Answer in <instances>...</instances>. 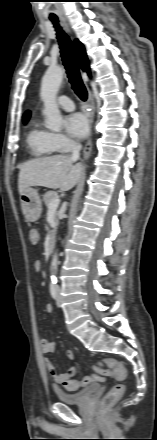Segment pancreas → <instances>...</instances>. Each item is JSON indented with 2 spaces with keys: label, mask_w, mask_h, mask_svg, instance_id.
I'll return each instance as SVG.
<instances>
[{
  "label": "pancreas",
  "mask_w": 157,
  "mask_h": 440,
  "mask_svg": "<svg viewBox=\"0 0 157 440\" xmlns=\"http://www.w3.org/2000/svg\"><path fill=\"white\" fill-rule=\"evenodd\" d=\"M56 198H58V194L54 191H49V192L45 193L43 196V201H44L46 207L48 208L49 204ZM57 215H58V213H56V216ZM55 224H56V226L59 224L58 218L55 219ZM54 233H55V231H54ZM54 233H53V235H54Z\"/></svg>",
  "instance_id": "pancreas-1"
}]
</instances>
